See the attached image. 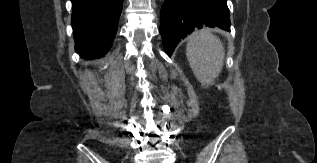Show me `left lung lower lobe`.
<instances>
[{"label": "left lung lower lobe", "instance_id": "obj_1", "mask_svg": "<svg viewBox=\"0 0 317 163\" xmlns=\"http://www.w3.org/2000/svg\"><path fill=\"white\" fill-rule=\"evenodd\" d=\"M160 19V33L169 56L179 41L196 29L217 26L230 31L226 0H165Z\"/></svg>", "mask_w": 317, "mask_h": 163}]
</instances>
